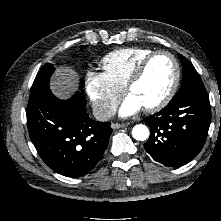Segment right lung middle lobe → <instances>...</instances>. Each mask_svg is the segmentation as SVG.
I'll list each match as a JSON object with an SVG mask.
<instances>
[{
    "mask_svg": "<svg viewBox=\"0 0 221 221\" xmlns=\"http://www.w3.org/2000/svg\"><path fill=\"white\" fill-rule=\"evenodd\" d=\"M87 47L86 45H82L80 46V48H85ZM55 67L50 64L47 63L45 64L42 69L39 71V73L37 74L32 88H31V92H30V96H33L35 94H37L38 92H41L47 88H49V79L52 75V73L54 72ZM84 87V80L80 81V88Z\"/></svg>",
    "mask_w": 221,
    "mask_h": 221,
    "instance_id": "1",
    "label": "right lung middle lobe"
}]
</instances>
